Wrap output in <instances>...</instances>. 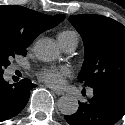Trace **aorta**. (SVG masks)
I'll use <instances>...</instances> for the list:
<instances>
[{
  "instance_id": "obj_1",
  "label": "aorta",
  "mask_w": 125,
  "mask_h": 125,
  "mask_svg": "<svg viewBox=\"0 0 125 125\" xmlns=\"http://www.w3.org/2000/svg\"><path fill=\"white\" fill-rule=\"evenodd\" d=\"M36 57L44 62H51L58 58L59 50L55 42L48 38L39 39L34 45ZM78 101L74 96L65 95L59 98L58 108L64 115H72L78 110Z\"/></svg>"
}]
</instances>
